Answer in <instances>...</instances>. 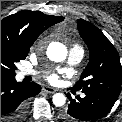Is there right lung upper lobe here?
Returning <instances> with one entry per match:
<instances>
[{"label": "right lung upper lobe", "instance_id": "right-lung-upper-lobe-1", "mask_svg": "<svg viewBox=\"0 0 122 122\" xmlns=\"http://www.w3.org/2000/svg\"><path fill=\"white\" fill-rule=\"evenodd\" d=\"M63 19L62 16L45 15L40 11H19L1 21V41L30 48L43 31Z\"/></svg>", "mask_w": 122, "mask_h": 122}]
</instances>
